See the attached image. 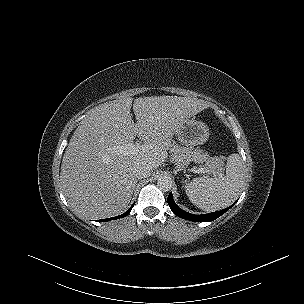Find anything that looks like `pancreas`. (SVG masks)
Masks as SVG:
<instances>
[{
  "mask_svg": "<svg viewBox=\"0 0 304 304\" xmlns=\"http://www.w3.org/2000/svg\"><path fill=\"white\" fill-rule=\"evenodd\" d=\"M170 152L172 162L177 168L181 169L188 166L191 161H195L197 163L206 162L203 166L205 171L217 172L224 164L222 157H211L208 153H204L201 150H194L193 148L189 147L172 145Z\"/></svg>",
  "mask_w": 304,
  "mask_h": 304,
  "instance_id": "1",
  "label": "pancreas"
}]
</instances>
